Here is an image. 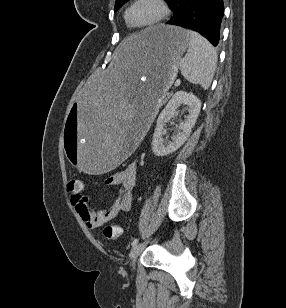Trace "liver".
<instances>
[{
  "mask_svg": "<svg viewBox=\"0 0 286 308\" xmlns=\"http://www.w3.org/2000/svg\"><path fill=\"white\" fill-rule=\"evenodd\" d=\"M140 34H134L124 39L115 51L113 65H117L121 61H126L135 55L141 41Z\"/></svg>",
  "mask_w": 286,
  "mask_h": 308,
  "instance_id": "6515ba94",
  "label": "liver"
}]
</instances>
